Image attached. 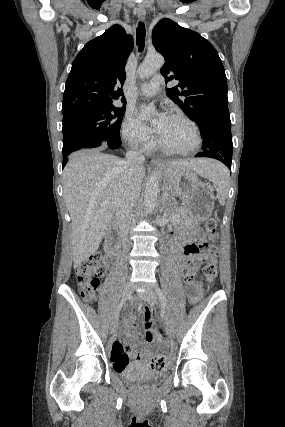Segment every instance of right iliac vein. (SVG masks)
<instances>
[{
    "instance_id": "1",
    "label": "right iliac vein",
    "mask_w": 285,
    "mask_h": 427,
    "mask_svg": "<svg viewBox=\"0 0 285 427\" xmlns=\"http://www.w3.org/2000/svg\"><path fill=\"white\" fill-rule=\"evenodd\" d=\"M131 293H132V288H131L129 283H126V285L124 286V289H123V297L128 298V297H130ZM117 325H118V316H115L111 322V325H110L111 334L116 333Z\"/></svg>"
}]
</instances>
